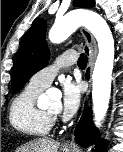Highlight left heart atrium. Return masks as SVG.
Instances as JSON below:
<instances>
[{
  "mask_svg": "<svg viewBox=\"0 0 123 152\" xmlns=\"http://www.w3.org/2000/svg\"><path fill=\"white\" fill-rule=\"evenodd\" d=\"M63 96L60 107L62 117L70 119L78 110L81 99L79 86L71 81H66L63 84Z\"/></svg>",
  "mask_w": 123,
  "mask_h": 152,
  "instance_id": "39dd6f15",
  "label": "left heart atrium"
}]
</instances>
